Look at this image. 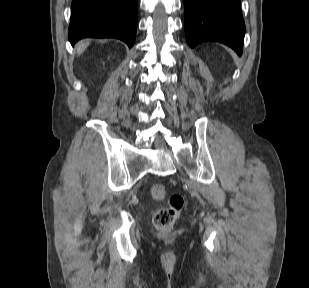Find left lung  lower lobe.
I'll use <instances>...</instances> for the list:
<instances>
[{
    "label": "left lung lower lobe",
    "instance_id": "1",
    "mask_svg": "<svg viewBox=\"0 0 309 288\" xmlns=\"http://www.w3.org/2000/svg\"><path fill=\"white\" fill-rule=\"evenodd\" d=\"M188 45L221 42L241 56L245 34L240 0H184Z\"/></svg>",
    "mask_w": 309,
    "mask_h": 288
}]
</instances>
